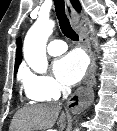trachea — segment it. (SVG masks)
<instances>
[{
    "instance_id": "trachea-1",
    "label": "trachea",
    "mask_w": 117,
    "mask_h": 131,
    "mask_svg": "<svg viewBox=\"0 0 117 131\" xmlns=\"http://www.w3.org/2000/svg\"><path fill=\"white\" fill-rule=\"evenodd\" d=\"M56 15L59 20V25L62 33L69 39L78 41V34L72 29L69 19L65 13L64 0H54Z\"/></svg>"
}]
</instances>
